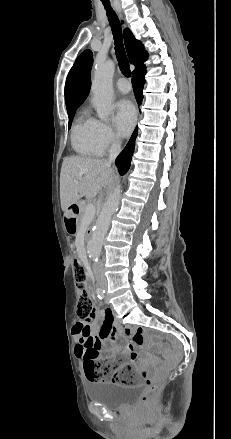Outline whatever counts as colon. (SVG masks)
I'll use <instances>...</instances> for the list:
<instances>
[{
    "instance_id": "1",
    "label": "colon",
    "mask_w": 231,
    "mask_h": 439,
    "mask_svg": "<svg viewBox=\"0 0 231 439\" xmlns=\"http://www.w3.org/2000/svg\"><path fill=\"white\" fill-rule=\"evenodd\" d=\"M74 278L76 289L79 295L77 302V315L82 320H89L92 315V299L87 289V272L82 263L75 261ZM112 363L110 361H100L92 351H88L84 357V369L88 380L105 381L111 380L113 383L120 385H129L135 383L136 370L130 365H120L111 372ZM146 387L141 395L140 404L147 405L155 397L159 388V379L146 378Z\"/></svg>"
}]
</instances>
